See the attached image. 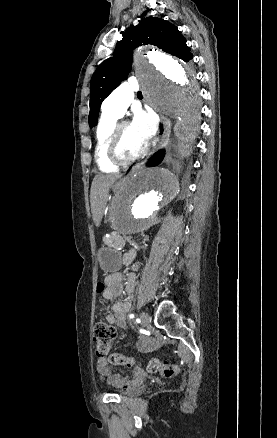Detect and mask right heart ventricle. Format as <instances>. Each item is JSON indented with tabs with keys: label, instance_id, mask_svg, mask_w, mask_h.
I'll use <instances>...</instances> for the list:
<instances>
[{
	"label": "right heart ventricle",
	"instance_id": "e07e8e85",
	"mask_svg": "<svg viewBox=\"0 0 277 438\" xmlns=\"http://www.w3.org/2000/svg\"><path fill=\"white\" fill-rule=\"evenodd\" d=\"M117 118L102 115L96 132V161L101 171L116 173L119 166L110 161L107 146L112 129L116 125Z\"/></svg>",
	"mask_w": 277,
	"mask_h": 438
}]
</instances>
